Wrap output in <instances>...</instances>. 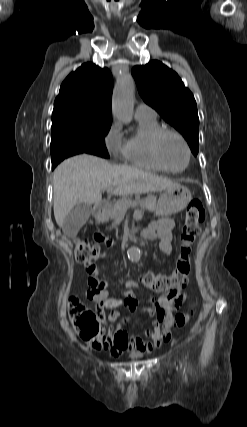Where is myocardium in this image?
Instances as JSON below:
<instances>
[{
	"instance_id": "obj_1",
	"label": "myocardium",
	"mask_w": 247,
	"mask_h": 427,
	"mask_svg": "<svg viewBox=\"0 0 247 427\" xmlns=\"http://www.w3.org/2000/svg\"><path fill=\"white\" fill-rule=\"evenodd\" d=\"M174 135L175 137H177L181 143L183 144L186 153H187V161L186 164L183 168L179 169V170H174L172 168H170L169 166L166 165V163L164 162L162 155H161V151H160V145H161V141L164 138V136L166 135ZM152 153L153 156L156 160V162L160 165V167L167 172L170 173H181L183 171H185L187 169V167L189 166V163L191 161V149L190 146L186 140V138L177 130L173 129V128H161L159 131H157V133L154 135L153 139H152Z\"/></svg>"
}]
</instances>
